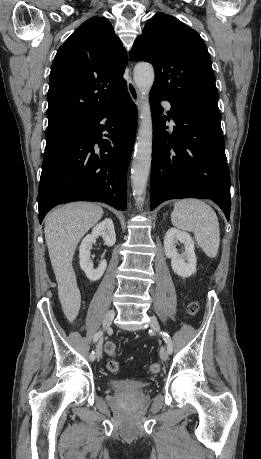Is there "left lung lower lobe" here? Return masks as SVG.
Segmentation results:
<instances>
[{
    "label": "left lung lower lobe",
    "instance_id": "0a47b994",
    "mask_svg": "<svg viewBox=\"0 0 261 459\" xmlns=\"http://www.w3.org/2000/svg\"><path fill=\"white\" fill-rule=\"evenodd\" d=\"M151 92L153 147L150 183V210L160 203L178 198L213 200L230 216V174L221 129V115L193 111L171 103L162 116L160 100ZM168 101V100H167ZM172 117L175 126L168 133L165 121Z\"/></svg>",
    "mask_w": 261,
    "mask_h": 459
}]
</instances>
